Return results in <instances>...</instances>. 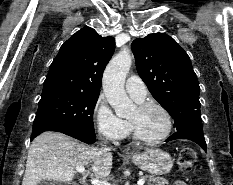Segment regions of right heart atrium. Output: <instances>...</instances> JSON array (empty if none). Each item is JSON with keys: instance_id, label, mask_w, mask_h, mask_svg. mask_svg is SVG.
I'll list each match as a JSON object with an SVG mask.
<instances>
[{"instance_id": "obj_1", "label": "right heart atrium", "mask_w": 233, "mask_h": 185, "mask_svg": "<svg viewBox=\"0 0 233 185\" xmlns=\"http://www.w3.org/2000/svg\"><path fill=\"white\" fill-rule=\"evenodd\" d=\"M92 116L97 134L104 139L117 142L127 136L129 132L127 121L118 117L102 96L96 100Z\"/></svg>"}]
</instances>
